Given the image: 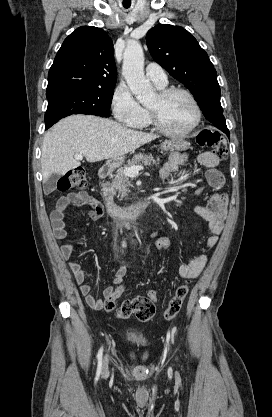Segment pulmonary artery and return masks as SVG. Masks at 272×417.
<instances>
[{"label":"pulmonary artery","instance_id":"e3ab8cb5","mask_svg":"<svg viewBox=\"0 0 272 417\" xmlns=\"http://www.w3.org/2000/svg\"><path fill=\"white\" fill-rule=\"evenodd\" d=\"M145 73L146 77L158 87H165L168 83L164 69L156 63L148 64Z\"/></svg>","mask_w":272,"mask_h":417}]
</instances>
